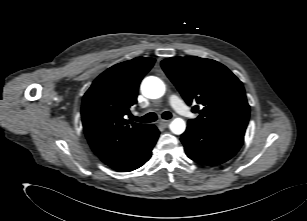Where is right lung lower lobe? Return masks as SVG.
<instances>
[{
  "label": "right lung lower lobe",
  "mask_w": 307,
  "mask_h": 221,
  "mask_svg": "<svg viewBox=\"0 0 307 221\" xmlns=\"http://www.w3.org/2000/svg\"><path fill=\"white\" fill-rule=\"evenodd\" d=\"M158 136V129L154 125H151L146 134L133 146L107 165L116 171L124 172H129L141 167L151 157V151Z\"/></svg>",
  "instance_id": "right-lung-lower-lobe-1"
}]
</instances>
